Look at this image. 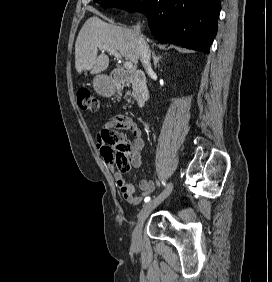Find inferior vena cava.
Returning a JSON list of instances; mask_svg holds the SVG:
<instances>
[{
    "instance_id": "obj_1",
    "label": "inferior vena cava",
    "mask_w": 272,
    "mask_h": 282,
    "mask_svg": "<svg viewBox=\"0 0 272 282\" xmlns=\"http://www.w3.org/2000/svg\"><path fill=\"white\" fill-rule=\"evenodd\" d=\"M134 31H135V33L138 37L141 62L143 64L144 68L146 69V71L149 73V72L152 71L151 64H150V49H149L147 42L145 41V39L143 38V36L141 34L140 23H138L135 26Z\"/></svg>"
}]
</instances>
